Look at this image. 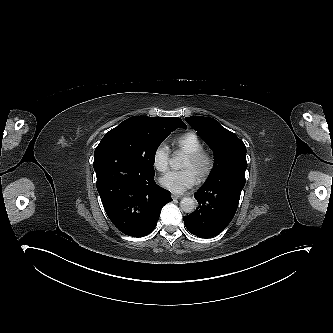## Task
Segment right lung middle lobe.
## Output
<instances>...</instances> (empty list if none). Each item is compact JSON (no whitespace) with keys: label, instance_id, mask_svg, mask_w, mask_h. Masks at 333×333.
Instances as JSON below:
<instances>
[{"label":"right lung middle lobe","instance_id":"obj_1","mask_svg":"<svg viewBox=\"0 0 333 333\" xmlns=\"http://www.w3.org/2000/svg\"><path fill=\"white\" fill-rule=\"evenodd\" d=\"M178 126L150 119L125 120L102 138L95 154L106 143L118 146L141 167L154 172L155 152Z\"/></svg>","mask_w":333,"mask_h":333}]
</instances>
